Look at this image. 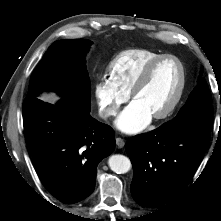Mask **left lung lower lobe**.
<instances>
[{"label":"left lung lower lobe","instance_id":"1","mask_svg":"<svg viewBox=\"0 0 221 221\" xmlns=\"http://www.w3.org/2000/svg\"><path fill=\"white\" fill-rule=\"evenodd\" d=\"M210 132L161 127L126 143L134 176L131 194L141 206L159 207L181 195L208 149Z\"/></svg>","mask_w":221,"mask_h":221}]
</instances>
